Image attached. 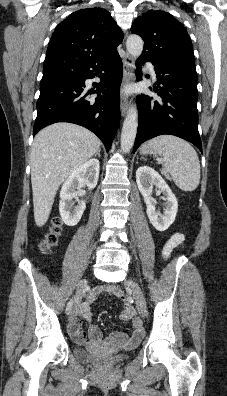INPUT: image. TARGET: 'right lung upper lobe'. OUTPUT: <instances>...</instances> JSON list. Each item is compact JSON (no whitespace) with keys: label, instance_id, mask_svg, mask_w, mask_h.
Listing matches in <instances>:
<instances>
[{"label":"right lung upper lobe","instance_id":"right-lung-upper-lobe-1","mask_svg":"<svg viewBox=\"0 0 227 396\" xmlns=\"http://www.w3.org/2000/svg\"><path fill=\"white\" fill-rule=\"evenodd\" d=\"M123 33L102 8L78 10L62 21L49 42L43 72L74 68L117 52Z\"/></svg>","mask_w":227,"mask_h":396}]
</instances>
